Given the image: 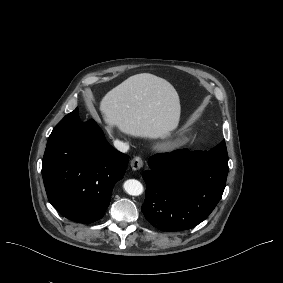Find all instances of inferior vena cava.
Masks as SVG:
<instances>
[{"label":"inferior vena cava","mask_w":283,"mask_h":283,"mask_svg":"<svg viewBox=\"0 0 283 283\" xmlns=\"http://www.w3.org/2000/svg\"><path fill=\"white\" fill-rule=\"evenodd\" d=\"M114 146L120 151V152H127L129 149V145L127 143H124L122 141L119 140H115L114 141Z\"/></svg>","instance_id":"602c4592"}]
</instances>
